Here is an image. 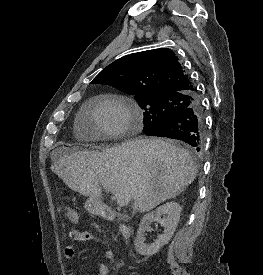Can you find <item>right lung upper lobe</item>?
I'll use <instances>...</instances> for the list:
<instances>
[{
    "instance_id": "right-lung-upper-lobe-1",
    "label": "right lung upper lobe",
    "mask_w": 263,
    "mask_h": 275,
    "mask_svg": "<svg viewBox=\"0 0 263 275\" xmlns=\"http://www.w3.org/2000/svg\"><path fill=\"white\" fill-rule=\"evenodd\" d=\"M91 83L111 85L135 96L196 94L178 57L165 48L124 56L105 67Z\"/></svg>"
}]
</instances>
